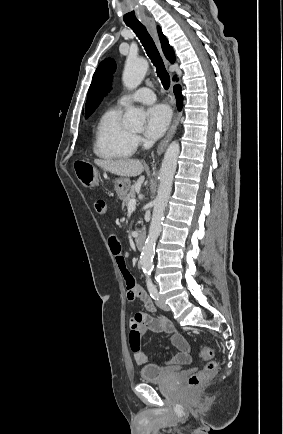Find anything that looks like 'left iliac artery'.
<instances>
[{"instance_id": "1", "label": "left iliac artery", "mask_w": 283, "mask_h": 434, "mask_svg": "<svg viewBox=\"0 0 283 434\" xmlns=\"http://www.w3.org/2000/svg\"><path fill=\"white\" fill-rule=\"evenodd\" d=\"M146 284H147V288L148 291L150 293V296L154 299V300H158L159 298V294L157 291L156 286L153 284L152 280L150 278L146 279Z\"/></svg>"}]
</instances>
